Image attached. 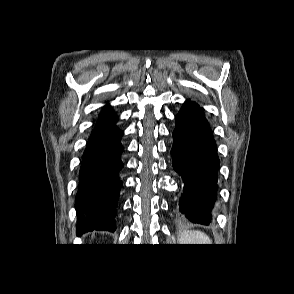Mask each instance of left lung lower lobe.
Here are the masks:
<instances>
[{
  "mask_svg": "<svg viewBox=\"0 0 294 294\" xmlns=\"http://www.w3.org/2000/svg\"><path fill=\"white\" fill-rule=\"evenodd\" d=\"M172 160L184 182L179 211L193 223L208 225L216 200L219 158L202 108L187 100L175 117Z\"/></svg>",
  "mask_w": 294,
  "mask_h": 294,
  "instance_id": "1",
  "label": "left lung lower lobe"
}]
</instances>
